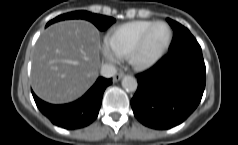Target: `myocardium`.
<instances>
[{
  "label": "myocardium",
  "mask_w": 238,
  "mask_h": 145,
  "mask_svg": "<svg viewBox=\"0 0 238 145\" xmlns=\"http://www.w3.org/2000/svg\"><path fill=\"white\" fill-rule=\"evenodd\" d=\"M157 26H164L168 31L167 39L164 44L152 55L149 57H143V52L145 50L147 41L151 35L153 29ZM172 39V30L170 26L162 21L154 22L151 26H149L142 36L139 38L138 42L134 45V47L127 54L128 63L137 70H146L154 66L165 54L167 51Z\"/></svg>",
  "instance_id": "1"
}]
</instances>
